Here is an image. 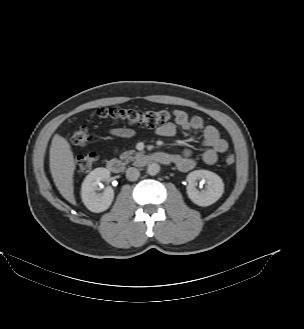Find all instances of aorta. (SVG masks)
Masks as SVG:
<instances>
[{
  "instance_id": "762f6f07",
  "label": "aorta",
  "mask_w": 304,
  "mask_h": 329,
  "mask_svg": "<svg viewBox=\"0 0 304 329\" xmlns=\"http://www.w3.org/2000/svg\"><path fill=\"white\" fill-rule=\"evenodd\" d=\"M160 166L157 163H151L147 167V173L151 176H155L159 173Z\"/></svg>"
}]
</instances>
